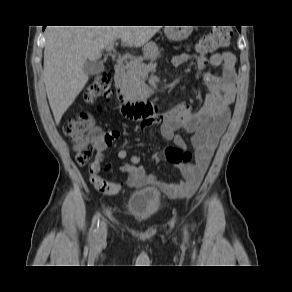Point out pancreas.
Wrapping results in <instances>:
<instances>
[{
    "mask_svg": "<svg viewBox=\"0 0 292 292\" xmlns=\"http://www.w3.org/2000/svg\"><path fill=\"white\" fill-rule=\"evenodd\" d=\"M143 58L130 61L121 72L119 79L122 93L128 99H137L140 97L142 87H144V71L141 68L144 59L154 62L160 57L158 46L154 42L146 44L143 48Z\"/></svg>",
    "mask_w": 292,
    "mask_h": 292,
    "instance_id": "1",
    "label": "pancreas"
}]
</instances>
